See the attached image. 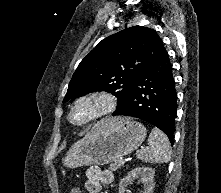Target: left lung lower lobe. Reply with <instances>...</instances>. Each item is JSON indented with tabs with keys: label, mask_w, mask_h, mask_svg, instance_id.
<instances>
[{
	"label": "left lung lower lobe",
	"mask_w": 221,
	"mask_h": 193,
	"mask_svg": "<svg viewBox=\"0 0 221 193\" xmlns=\"http://www.w3.org/2000/svg\"><path fill=\"white\" fill-rule=\"evenodd\" d=\"M177 92L168 52L148 65L133 81L127 98L113 115L132 116L162 130L173 143Z\"/></svg>",
	"instance_id": "left-lung-lower-lobe-1"
}]
</instances>
